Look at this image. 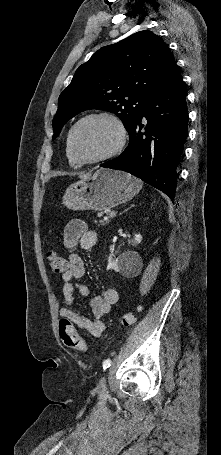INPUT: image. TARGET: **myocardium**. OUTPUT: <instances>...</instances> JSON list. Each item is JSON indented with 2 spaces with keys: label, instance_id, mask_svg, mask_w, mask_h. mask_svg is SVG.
I'll return each instance as SVG.
<instances>
[{
  "label": "myocardium",
  "instance_id": "1",
  "mask_svg": "<svg viewBox=\"0 0 221 455\" xmlns=\"http://www.w3.org/2000/svg\"><path fill=\"white\" fill-rule=\"evenodd\" d=\"M94 119H101V120H105V121H108L109 123H111L116 130L117 142L112 149H110L108 152H106L103 155H100L95 158H84L78 153V151L76 149V145H75L76 133L78 131V128L83 123H85L89 120H94ZM126 141H127V131H126V127H125L123 121L117 115H115L111 112H107V111H98V112H93V113L84 115L83 117H81L79 120H77L75 122V124L72 126L70 133H69L70 151H71L73 157L77 161H79L80 163H83V164L99 163V162H102V161H105L107 159L114 157L115 155H117L118 153H120L123 150V148L125 147Z\"/></svg>",
  "mask_w": 221,
  "mask_h": 455
}]
</instances>
